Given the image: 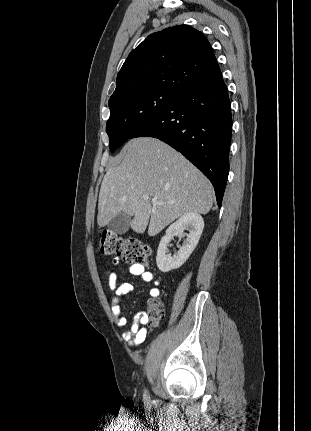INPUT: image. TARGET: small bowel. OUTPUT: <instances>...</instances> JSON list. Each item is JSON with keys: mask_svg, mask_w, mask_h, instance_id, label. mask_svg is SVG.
<instances>
[{"mask_svg": "<svg viewBox=\"0 0 311 431\" xmlns=\"http://www.w3.org/2000/svg\"><path fill=\"white\" fill-rule=\"evenodd\" d=\"M120 260L115 258L113 260V265L118 266ZM129 273L134 276H139L143 282L150 283L154 280L153 274L148 271L142 264H133L129 267ZM119 272L118 270H108L106 272V281L111 290L114 292L112 298V313L116 319V323L120 327H126L128 320L121 316V299L123 296L131 293L134 287L131 283H119ZM150 295L152 297H157L159 295V290L157 288H152L150 290ZM145 323V314L139 313L135 319L132 326L122 333V337L129 344H140L145 338L147 331L145 328L140 327V324Z\"/></svg>", "mask_w": 311, "mask_h": 431, "instance_id": "c3829d8e", "label": "small bowel"}]
</instances>
